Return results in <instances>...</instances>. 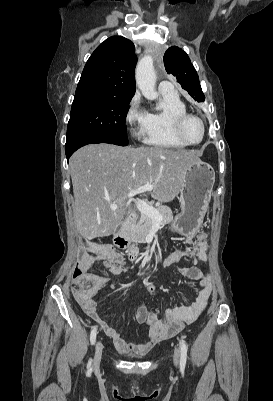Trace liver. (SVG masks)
Here are the masks:
<instances>
[{"mask_svg": "<svg viewBox=\"0 0 273 401\" xmlns=\"http://www.w3.org/2000/svg\"><path fill=\"white\" fill-rule=\"evenodd\" d=\"M197 160L200 158L194 150L82 146L69 160L78 233L86 239L114 235L126 213L128 192L144 184H153L151 196L160 203L173 201L180 192L184 168Z\"/></svg>", "mask_w": 273, "mask_h": 401, "instance_id": "liver-1", "label": "liver"}]
</instances>
